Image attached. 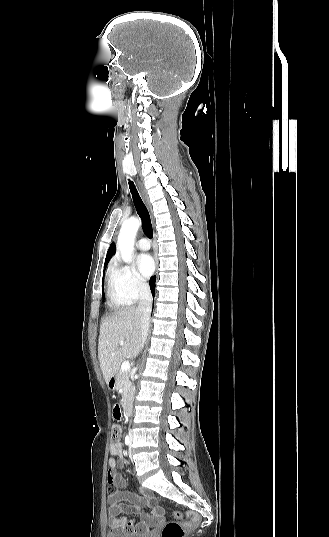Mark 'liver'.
<instances>
[{
  "label": "liver",
  "instance_id": "liver-1",
  "mask_svg": "<svg viewBox=\"0 0 329 537\" xmlns=\"http://www.w3.org/2000/svg\"><path fill=\"white\" fill-rule=\"evenodd\" d=\"M123 342L124 345L120 346ZM142 346L140 315L129 308L113 313L102 321L98 342V358L105 382L114 377L122 361L134 358Z\"/></svg>",
  "mask_w": 329,
  "mask_h": 537
}]
</instances>
